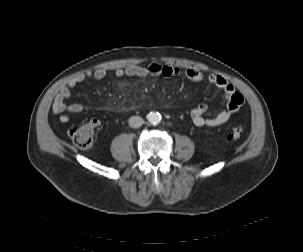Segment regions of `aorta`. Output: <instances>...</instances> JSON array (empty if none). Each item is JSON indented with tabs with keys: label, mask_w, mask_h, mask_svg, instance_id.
I'll use <instances>...</instances> for the list:
<instances>
[{
	"label": "aorta",
	"mask_w": 303,
	"mask_h": 252,
	"mask_svg": "<svg viewBox=\"0 0 303 252\" xmlns=\"http://www.w3.org/2000/svg\"><path fill=\"white\" fill-rule=\"evenodd\" d=\"M147 119L150 124L158 125L161 122V115L158 112H150L147 115Z\"/></svg>",
	"instance_id": "1"
}]
</instances>
